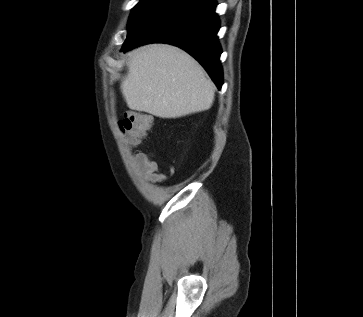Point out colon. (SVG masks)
I'll return each instance as SVG.
<instances>
[{
	"instance_id": "5ec220e1",
	"label": "colon",
	"mask_w": 363,
	"mask_h": 317,
	"mask_svg": "<svg viewBox=\"0 0 363 317\" xmlns=\"http://www.w3.org/2000/svg\"><path fill=\"white\" fill-rule=\"evenodd\" d=\"M152 117L148 114L128 111L119 121L121 133L126 137L129 146L137 145L150 131Z\"/></svg>"
}]
</instances>
